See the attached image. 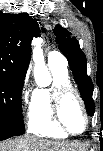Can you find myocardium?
Returning <instances> with one entry per match:
<instances>
[{
  "instance_id": "myocardium-1",
  "label": "myocardium",
  "mask_w": 103,
  "mask_h": 151,
  "mask_svg": "<svg viewBox=\"0 0 103 151\" xmlns=\"http://www.w3.org/2000/svg\"><path fill=\"white\" fill-rule=\"evenodd\" d=\"M69 95H74L77 98L83 110L85 124H84V128L79 132L73 131L62 119V115H61L62 104L64 99ZM51 118L54 125L57 128L70 135H80L84 133L89 126V114L87 111L85 101L83 100L80 93L71 86H60L54 89L52 94V102H51Z\"/></svg>"
}]
</instances>
